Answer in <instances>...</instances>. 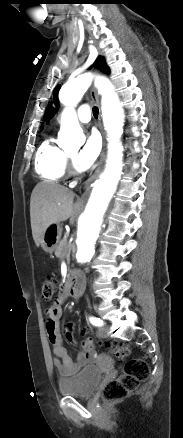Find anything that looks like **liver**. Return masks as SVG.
I'll return each instance as SVG.
<instances>
[{
  "label": "liver",
  "mask_w": 183,
  "mask_h": 438,
  "mask_svg": "<svg viewBox=\"0 0 183 438\" xmlns=\"http://www.w3.org/2000/svg\"><path fill=\"white\" fill-rule=\"evenodd\" d=\"M74 192L58 184L41 182L32 191L30 218L36 246L41 244L44 232L53 224L70 219L74 222Z\"/></svg>",
  "instance_id": "obj_1"
}]
</instances>
